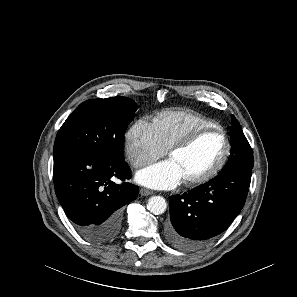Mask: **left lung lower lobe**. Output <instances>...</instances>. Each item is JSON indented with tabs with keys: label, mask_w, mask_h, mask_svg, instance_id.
<instances>
[{
	"label": "left lung lower lobe",
	"mask_w": 297,
	"mask_h": 297,
	"mask_svg": "<svg viewBox=\"0 0 297 297\" xmlns=\"http://www.w3.org/2000/svg\"><path fill=\"white\" fill-rule=\"evenodd\" d=\"M251 173L222 172L183 195L171 196L167 241L178 249L196 250L225 231L244 206Z\"/></svg>",
	"instance_id": "1"
}]
</instances>
